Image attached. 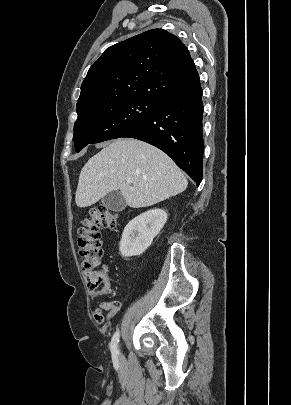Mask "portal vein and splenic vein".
<instances>
[{"mask_svg":"<svg viewBox=\"0 0 291 405\" xmlns=\"http://www.w3.org/2000/svg\"><path fill=\"white\" fill-rule=\"evenodd\" d=\"M126 181H127V183H130V182H131V180H130L129 178H127V180H126Z\"/></svg>","mask_w":291,"mask_h":405,"instance_id":"portal-vein-and-splenic-vein-1","label":"portal vein and splenic vein"}]
</instances>
